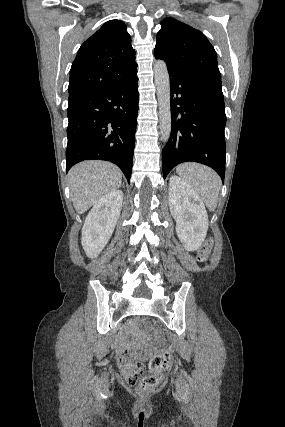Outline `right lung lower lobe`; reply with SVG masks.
<instances>
[{"instance_id":"right-lung-lower-lobe-1","label":"right lung lower lobe","mask_w":285,"mask_h":427,"mask_svg":"<svg viewBox=\"0 0 285 427\" xmlns=\"http://www.w3.org/2000/svg\"><path fill=\"white\" fill-rule=\"evenodd\" d=\"M138 77L68 103L66 170L83 160L116 164L130 182L138 114Z\"/></svg>"}]
</instances>
